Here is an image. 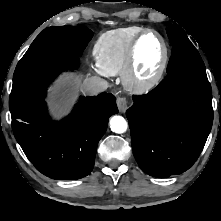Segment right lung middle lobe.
<instances>
[{
  "label": "right lung middle lobe",
  "mask_w": 221,
  "mask_h": 221,
  "mask_svg": "<svg viewBox=\"0 0 221 221\" xmlns=\"http://www.w3.org/2000/svg\"><path fill=\"white\" fill-rule=\"evenodd\" d=\"M92 37V31L82 26L44 29L16 66L10 109L34 98L61 71L75 68Z\"/></svg>",
  "instance_id": "1"
}]
</instances>
